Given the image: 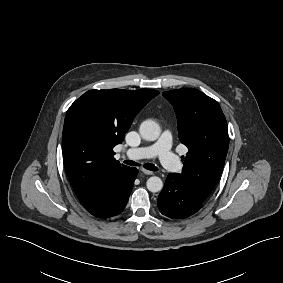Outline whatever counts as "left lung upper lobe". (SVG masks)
Listing matches in <instances>:
<instances>
[{"label": "left lung upper lobe", "mask_w": 283, "mask_h": 283, "mask_svg": "<svg viewBox=\"0 0 283 283\" xmlns=\"http://www.w3.org/2000/svg\"><path fill=\"white\" fill-rule=\"evenodd\" d=\"M162 94L174 106L179 139L188 148L182 173L177 175L206 200L219 180L229 147L225 116L217 101L195 88Z\"/></svg>", "instance_id": "left-lung-upper-lobe-1"}]
</instances>
